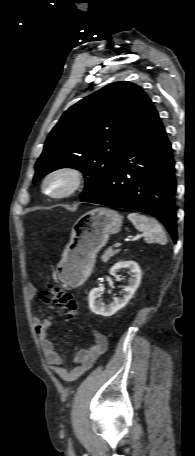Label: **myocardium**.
<instances>
[{"instance_id":"f54148a6","label":"myocardium","mask_w":195,"mask_h":456,"mask_svg":"<svg viewBox=\"0 0 195 456\" xmlns=\"http://www.w3.org/2000/svg\"><path fill=\"white\" fill-rule=\"evenodd\" d=\"M56 176H65L69 180V185L67 188L59 193H52L49 192L47 189L48 181ZM84 183V174L81 170L70 167V166H63L58 167L50 172H48L43 181H42V191L43 193L53 199H64L70 197L71 195L75 194L83 185Z\"/></svg>"}]
</instances>
